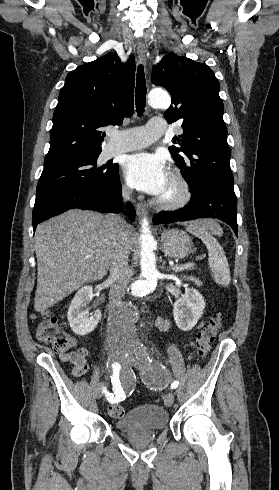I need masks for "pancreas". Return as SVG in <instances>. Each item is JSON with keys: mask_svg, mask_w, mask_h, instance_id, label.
<instances>
[{"mask_svg": "<svg viewBox=\"0 0 279 490\" xmlns=\"http://www.w3.org/2000/svg\"><path fill=\"white\" fill-rule=\"evenodd\" d=\"M188 280H194V278H188ZM196 284H197V280H196Z\"/></svg>", "mask_w": 279, "mask_h": 490, "instance_id": "1", "label": "pancreas"}]
</instances>
